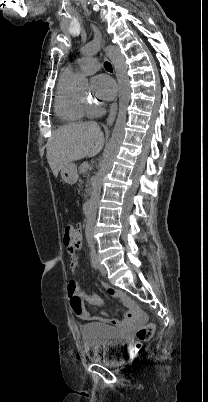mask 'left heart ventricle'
I'll list each match as a JSON object with an SVG mask.
<instances>
[{"label": "left heart ventricle", "mask_w": 208, "mask_h": 402, "mask_svg": "<svg viewBox=\"0 0 208 402\" xmlns=\"http://www.w3.org/2000/svg\"><path fill=\"white\" fill-rule=\"evenodd\" d=\"M86 89H87V85L86 87L79 93V94H86ZM100 95V94H99Z\"/></svg>", "instance_id": "1"}]
</instances>
